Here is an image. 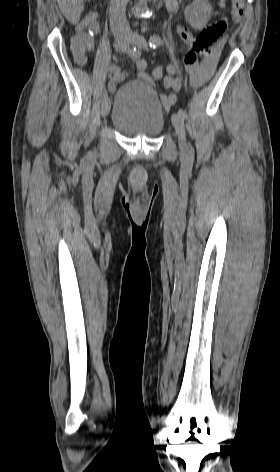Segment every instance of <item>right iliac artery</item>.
<instances>
[{
	"label": "right iliac artery",
	"mask_w": 280,
	"mask_h": 472,
	"mask_svg": "<svg viewBox=\"0 0 280 472\" xmlns=\"http://www.w3.org/2000/svg\"><path fill=\"white\" fill-rule=\"evenodd\" d=\"M128 53H129V56L133 59V60H137L140 58L141 56V53L138 49L136 48H132L130 50H128ZM109 71H110V74L113 75V76H117L119 75L120 73V68L115 66V65H111L109 67ZM103 96L105 97L106 96V91L103 92Z\"/></svg>",
	"instance_id": "right-iliac-artery-1"
}]
</instances>
